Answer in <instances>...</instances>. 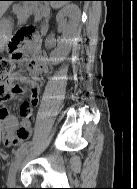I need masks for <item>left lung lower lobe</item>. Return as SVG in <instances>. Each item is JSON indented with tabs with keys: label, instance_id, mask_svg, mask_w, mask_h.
<instances>
[{
	"label": "left lung lower lobe",
	"instance_id": "left-lung-lower-lobe-1",
	"mask_svg": "<svg viewBox=\"0 0 137 189\" xmlns=\"http://www.w3.org/2000/svg\"><path fill=\"white\" fill-rule=\"evenodd\" d=\"M70 1H84V0H70Z\"/></svg>",
	"mask_w": 137,
	"mask_h": 189
}]
</instances>
